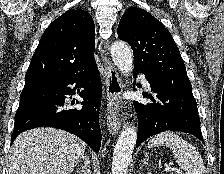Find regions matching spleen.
Instances as JSON below:
<instances>
[{
	"label": "spleen",
	"mask_w": 224,
	"mask_h": 174,
	"mask_svg": "<svg viewBox=\"0 0 224 174\" xmlns=\"http://www.w3.org/2000/svg\"><path fill=\"white\" fill-rule=\"evenodd\" d=\"M166 146L171 149L176 163L185 174H205V166L197 149L179 135L172 132H162L155 135L149 142L148 148Z\"/></svg>",
	"instance_id": "3e777b00"
}]
</instances>
